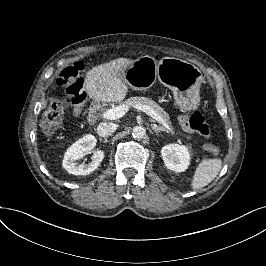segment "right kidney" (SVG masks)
I'll list each match as a JSON object with an SVG mask.
<instances>
[{
  "mask_svg": "<svg viewBox=\"0 0 266 266\" xmlns=\"http://www.w3.org/2000/svg\"><path fill=\"white\" fill-rule=\"evenodd\" d=\"M96 138L94 136L88 135L82 139L76 141L66 152L74 162V175L86 176L92 173L104 159V152L102 150L96 149ZM93 153L91 162L88 164H77L76 161L79 160L86 153Z\"/></svg>",
  "mask_w": 266,
  "mask_h": 266,
  "instance_id": "right-kidney-1",
  "label": "right kidney"
}]
</instances>
